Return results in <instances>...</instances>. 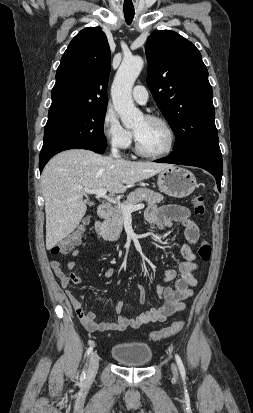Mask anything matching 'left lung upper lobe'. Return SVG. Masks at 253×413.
<instances>
[{"label": "left lung upper lobe", "instance_id": "5c2ea615", "mask_svg": "<svg viewBox=\"0 0 253 413\" xmlns=\"http://www.w3.org/2000/svg\"><path fill=\"white\" fill-rule=\"evenodd\" d=\"M147 84L176 134L171 155L221 154L213 92L196 46L170 30H155L146 43Z\"/></svg>", "mask_w": 253, "mask_h": 413}]
</instances>
